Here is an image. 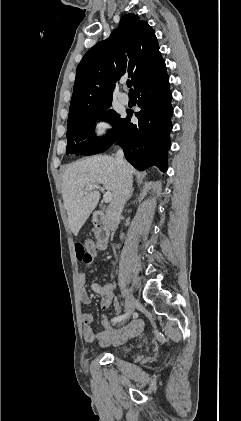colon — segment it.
<instances>
[{
  "instance_id": "obj_1",
  "label": "colon",
  "mask_w": 241,
  "mask_h": 421,
  "mask_svg": "<svg viewBox=\"0 0 241 421\" xmlns=\"http://www.w3.org/2000/svg\"><path fill=\"white\" fill-rule=\"evenodd\" d=\"M75 253L77 259L86 264L90 265L94 258V243L92 241H86L84 243L75 244Z\"/></svg>"
}]
</instances>
